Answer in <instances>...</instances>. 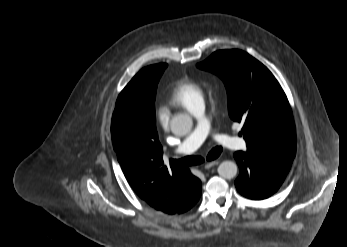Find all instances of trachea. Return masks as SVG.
Returning <instances> with one entry per match:
<instances>
[{
	"label": "trachea",
	"mask_w": 347,
	"mask_h": 247,
	"mask_svg": "<svg viewBox=\"0 0 347 247\" xmlns=\"http://www.w3.org/2000/svg\"><path fill=\"white\" fill-rule=\"evenodd\" d=\"M222 152L221 147L213 148L207 155V160L211 161L216 159ZM177 165H198L204 162V159L200 156H188L179 160H172Z\"/></svg>",
	"instance_id": "trachea-1"
}]
</instances>
